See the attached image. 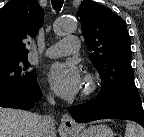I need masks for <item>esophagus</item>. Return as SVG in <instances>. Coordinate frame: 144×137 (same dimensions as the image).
I'll return each mask as SVG.
<instances>
[{
	"label": "esophagus",
	"mask_w": 144,
	"mask_h": 137,
	"mask_svg": "<svg viewBox=\"0 0 144 137\" xmlns=\"http://www.w3.org/2000/svg\"><path fill=\"white\" fill-rule=\"evenodd\" d=\"M61 126L65 131H73L78 128L76 121L69 114H64L62 116Z\"/></svg>",
	"instance_id": "1"
}]
</instances>
